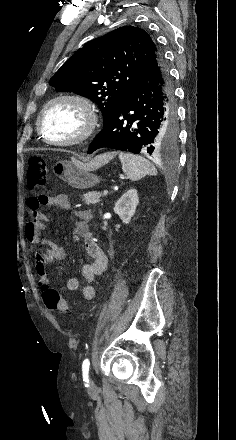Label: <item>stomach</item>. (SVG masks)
I'll list each match as a JSON object with an SVG mask.
<instances>
[{"instance_id":"1","label":"stomach","mask_w":236,"mask_h":440,"mask_svg":"<svg viewBox=\"0 0 236 440\" xmlns=\"http://www.w3.org/2000/svg\"><path fill=\"white\" fill-rule=\"evenodd\" d=\"M52 170L57 177L77 189L90 188L101 181L99 176L92 173L93 168L75 159L58 161L53 165Z\"/></svg>"}]
</instances>
